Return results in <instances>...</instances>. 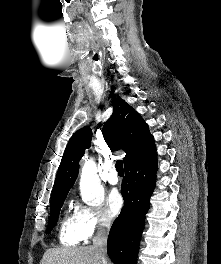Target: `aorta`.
Returning a JSON list of instances; mask_svg holds the SVG:
<instances>
[{"mask_svg":"<svg viewBox=\"0 0 221 264\" xmlns=\"http://www.w3.org/2000/svg\"><path fill=\"white\" fill-rule=\"evenodd\" d=\"M80 191L84 201L95 200L103 194V187L97 174L96 163L93 159L85 160L80 177Z\"/></svg>","mask_w":221,"mask_h":264,"instance_id":"762f6f07","label":"aorta"}]
</instances>
